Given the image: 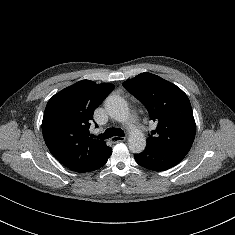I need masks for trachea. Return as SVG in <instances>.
<instances>
[{
  "label": "trachea",
  "instance_id": "3493384b",
  "mask_svg": "<svg viewBox=\"0 0 235 235\" xmlns=\"http://www.w3.org/2000/svg\"><path fill=\"white\" fill-rule=\"evenodd\" d=\"M124 137V132L120 128H108L103 134L99 136L100 139H108L113 136Z\"/></svg>",
  "mask_w": 235,
  "mask_h": 235
}]
</instances>
